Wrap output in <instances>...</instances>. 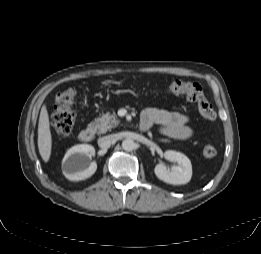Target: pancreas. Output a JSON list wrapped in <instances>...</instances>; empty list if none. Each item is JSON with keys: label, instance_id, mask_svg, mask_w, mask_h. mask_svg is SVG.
Returning <instances> with one entry per match:
<instances>
[{"label": "pancreas", "instance_id": "pancreas-1", "mask_svg": "<svg viewBox=\"0 0 261 254\" xmlns=\"http://www.w3.org/2000/svg\"><path fill=\"white\" fill-rule=\"evenodd\" d=\"M119 120H117V115L115 113L111 114L107 112L101 117L95 119L94 122L90 123V127H93L98 134H103L112 128L117 127Z\"/></svg>", "mask_w": 261, "mask_h": 254}]
</instances>
